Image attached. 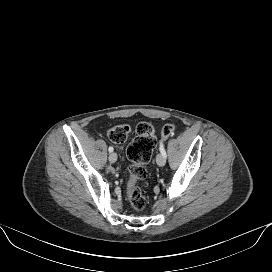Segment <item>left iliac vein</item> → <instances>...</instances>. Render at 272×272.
Wrapping results in <instances>:
<instances>
[{
    "mask_svg": "<svg viewBox=\"0 0 272 272\" xmlns=\"http://www.w3.org/2000/svg\"><path fill=\"white\" fill-rule=\"evenodd\" d=\"M156 162L162 167L166 164V157L163 154H158L156 157Z\"/></svg>",
    "mask_w": 272,
    "mask_h": 272,
    "instance_id": "obj_1",
    "label": "left iliac vein"
}]
</instances>
